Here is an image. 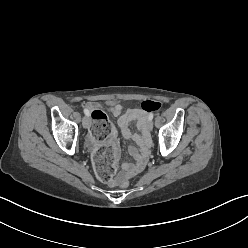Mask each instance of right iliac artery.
<instances>
[{
    "instance_id": "1",
    "label": "right iliac artery",
    "mask_w": 248,
    "mask_h": 248,
    "mask_svg": "<svg viewBox=\"0 0 248 248\" xmlns=\"http://www.w3.org/2000/svg\"><path fill=\"white\" fill-rule=\"evenodd\" d=\"M85 115L89 116V111L87 109H84Z\"/></svg>"
}]
</instances>
